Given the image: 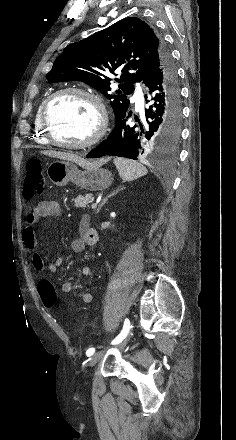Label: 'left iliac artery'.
<instances>
[{
    "instance_id": "left-iliac-artery-1",
    "label": "left iliac artery",
    "mask_w": 236,
    "mask_h": 440,
    "mask_svg": "<svg viewBox=\"0 0 236 440\" xmlns=\"http://www.w3.org/2000/svg\"><path fill=\"white\" fill-rule=\"evenodd\" d=\"M130 328H131V325H130V321H129V319H125L124 320V325H123V329H122V331L120 332V334L111 342V344L112 345H116V344H119L126 336H127V334L129 333V330H130ZM94 352H95V348H89L87 351H86V355L87 356H91V355H93L94 354Z\"/></svg>"
}]
</instances>
